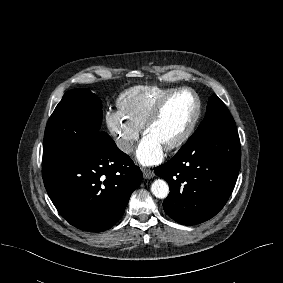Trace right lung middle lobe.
<instances>
[{
  "instance_id": "right-lung-middle-lobe-1",
  "label": "right lung middle lobe",
  "mask_w": 283,
  "mask_h": 283,
  "mask_svg": "<svg viewBox=\"0 0 283 283\" xmlns=\"http://www.w3.org/2000/svg\"><path fill=\"white\" fill-rule=\"evenodd\" d=\"M102 104L88 89L67 91L50 116L44 134L43 165L49 166L81 146H93L100 137Z\"/></svg>"
}]
</instances>
